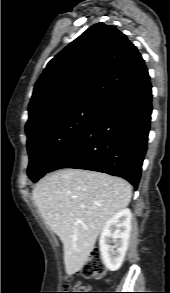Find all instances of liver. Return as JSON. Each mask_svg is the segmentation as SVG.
<instances>
[{
	"mask_svg": "<svg viewBox=\"0 0 170 293\" xmlns=\"http://www.w3.org/2000/svg\"><path fill=\"white\" fill-rule=\"evenodd\" d=\"M132 187L124 179L82 169H61L33 189L45 223L63 243L68 275L88 260L105 223L128 206Z\"/></svg>",
	"mask_w": 170,
	"mask_h": 293,
	"instance_id": "obj_1",
	"label": "liver"
}]
</instances>
